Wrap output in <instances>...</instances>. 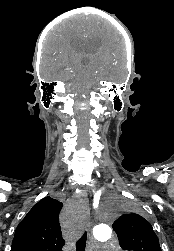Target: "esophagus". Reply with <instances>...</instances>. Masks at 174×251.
Instances as JSON below:
<instances>
[{"instance_id":"obj_1","label":"esophagus","mask_w":174,"mask_h":251,"mask_svg":"<svg viewBox=\"0 0 174 251\" xmlns=\"http://www.w3.org/2000/svg\"><path fill=\"white\" fill-rule=\"evenodd\" d=\"M81 217L83 224L89 226L90 206L87 194L82 195Z\"/></svg>"}]
</instances>
